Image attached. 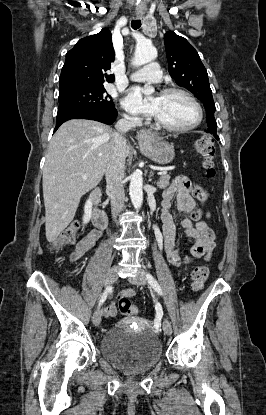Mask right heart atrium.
<instances>
[{"mask_svg": "<svg viewBox=\"0 0 266 415\" xmlns=\"http://www.w3.org/2000/svg\"><path fill=\"white\" fill-rule=\"evenodd\" d=\"M125 117H126V119H128V120H130V121H133V122H135V121H137V120H138L136 117L131 116V115H125Z\"/></svg>", "mask_w": 266, "mask_h": 415, "instance_id": "d8ad5b80", "label": "right heart atrium"}]
</instances>
